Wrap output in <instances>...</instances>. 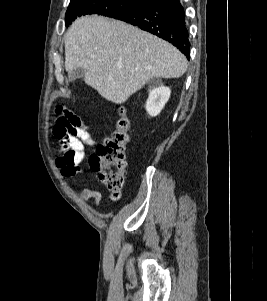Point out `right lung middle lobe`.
I'll return each instance as SVG.
<instances>
[{"instance_id": "1", "label": "right lung middle lobe", "mask_w": 267, "mask_h": 301, "mask_svg": "<svg viewBox=\"0 0 267 301\" xmlns=\"http://www.w3.org/2000/svg\"><path fill=\"white\" fill-rule=\"evenodd\" d=\"M146 4L143 0H71L65 15V25L82 15L98 14L114 17Z\"/></svg>"}]
</instances>
